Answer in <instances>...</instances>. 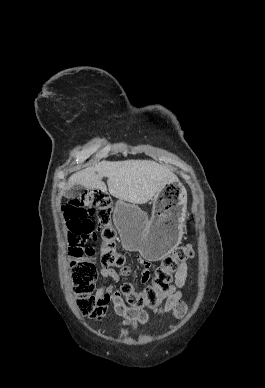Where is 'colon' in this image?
Instances as JSON below:
<instances>
[{"label": "colon", "mask_w": 265, "mask_h": 388, "mask_svg": "<svg viewBox=\"0 0 265 388\" xmlns=\"http://www.w3.org/2000/svg\"><path fill=\"white\" fill-rule=\"evenodd\" d=\"M61 210L69 230V254L72 257L70 266L78 310L86 317L99 320L102 314L94 295L97 273L91 260L97 252L95 248L86 245L87 241L100 232L99 256L102 266L119 269L123 275L129 273L125 256L116 249L117 234L111 224V199L106 192L96 190L65 202ZM193 255L190 245L176 248L156 267L151 282L142 290L137 291L133 283L124 280L118 290L120 295L131 308L155 306L161 294L168 290L180 263Z\"/></svg>", "instance_id": "5ec220e1"}]
</instances>
